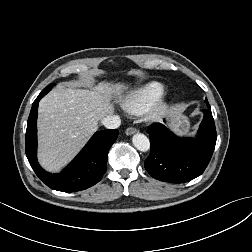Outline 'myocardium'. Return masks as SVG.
Listing matches in <instances>:
<instances>
[{
  "label": "myocardium",
  "mask_w": 252,
  "mask_h": 252,
  "mask_svg": "<svg viewBox=\"0 0 252 252\" xmlns=\"http://www.w3.org/2000/svg\"><path fill=\"white\" fill-rule=\"evenodd\" d=\"M167 110V103L164 99H159L152 107L148 109L147 117L151 121H159Z\"/></svg>",
  "instance_id": "f54148a6"
}]
</instances>
